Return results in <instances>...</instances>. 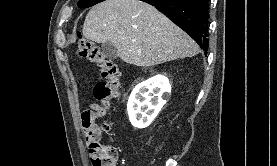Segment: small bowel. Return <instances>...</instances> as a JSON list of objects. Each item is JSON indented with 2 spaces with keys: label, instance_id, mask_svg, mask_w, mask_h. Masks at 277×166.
Segmentation results:
<instances>
[{
  "label": "small bowel",
  "instance_id": "c3829d8e",
  "mask_svg": "<svg viewBox=\"0 0 277 166\" xmlns=\"http://www.w3.org/2000/svg\"><path fill=\"white\" fill-rule=\"evenodd\" d=\"M89 111L91 114V118L93 123L96 125V120L104 114V111L97 104H93L89 109L84 112ZM83 112V113H84ZM84 115L82 116V123L84 122Z\"/></svg>",
  "mask_w": 277,
  "mask_h": 166
}]
</instances>
